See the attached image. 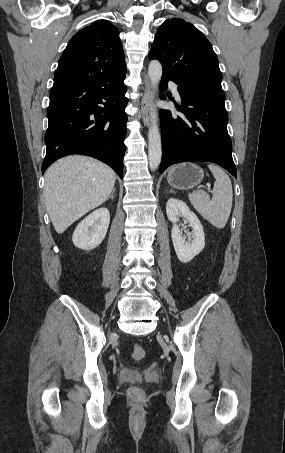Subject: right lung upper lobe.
<instances>
[{
    "mask_svg": "<svg viewBox=\"0 0 285 453\" xmlns=\"http://www.w3.org/2000/svg\"><path fill=\"white\" fill-rule=\"evenodd\" d=\"M126 72L117 27L96 21L77 32L59 59L54 79L72 76L98 78Z\"/></svg>",
    "mask_w": 285,
    "mask_h": 453,
    "instance_id": "1",
    "label": "right lung upper lobe"
}]
</instances>
